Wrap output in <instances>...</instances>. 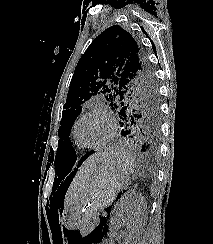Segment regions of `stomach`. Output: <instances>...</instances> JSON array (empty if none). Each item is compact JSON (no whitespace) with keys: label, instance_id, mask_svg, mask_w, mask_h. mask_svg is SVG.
<instances>
[{"label":"stomach","instance_id":"0dacf381","mask_svg":"<svg viewBox=\"0 0 213 244\" xmlns=\"http://www.w3.org/2000/svg\"><path fill=\"white\" fill-rule=\"evenodd\" d=\"M101 160L65 207L61 222L70 229H81L94 220L98 212L109 206L129 179V170L121 158L123 149H104Z\"/></svg>","mask_w":213,"mask_h":244}]
</instances>
